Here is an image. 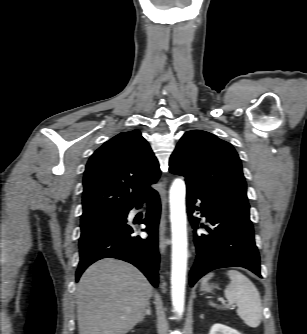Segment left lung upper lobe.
I'll use <instances>...</instances> for the list:
<instances>
[{
    "label": "left lung upper lobe",
    "mask_w": 307,
    "mask_h": 334,
    "mask_svg": "<svg viewBox=\"0 0 307 334\" xmlns=\"http://www.w3.org/2000/svg\"><path fill=\"white\" fill-rule=\"evenodd\" d=\"M169 170L185 177L187 186L248 204L242 165L226 141L202 130L187 131L171 155Z\"/></svg>",
    "instance_id": "left-lung-upper-lobe-1"
}]
</instances>
